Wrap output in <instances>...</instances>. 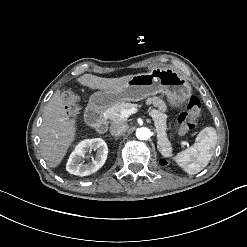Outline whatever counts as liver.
I'll use <instances>...</instances> for the list:
<instances>
[{
  "instance_id": "6515ba94",
  "label": "liver",
  "mask_w": 247,
  "mask_h": 247,
  "mask_svg": "<svg viewBox=\"0 0 247 247\" xmlns=\"http://www.w3.org/2000/svg\"><path fill=\"white\" fill-rule=\"evenodd\" d=\"M131 77L128 75L117 79H108L84 74L77 81L95 88L118 89ZM75 124L76 122L69 118L67 110L61 102L60 94L56 91L44 109L40 130V149L48 166L54 167L62 159L73 139Z\"/></svg>"
}]
</instances>
